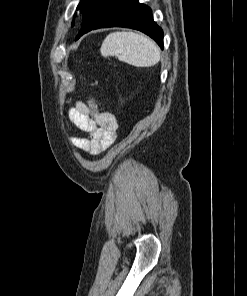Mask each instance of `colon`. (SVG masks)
<instances>
[{
    "instance_id": "1",
    "label": "colon",
    "mask_w": 247,
    "mask_h": 296,
    "mask_svg": "<svg viewBox=\"0 0 247 296\" xmlns=\"http://www.w3.org/2000/svg\"><path fill=\"white\" fill-rule=\"evenodd\" d=\"M90 106L95 110V111H100V109L98 108V104H97V101L94 97H90Z\"/></svg>"
}]
</instances>
